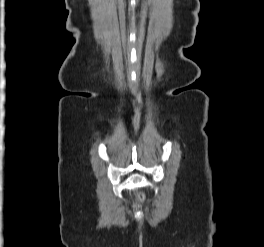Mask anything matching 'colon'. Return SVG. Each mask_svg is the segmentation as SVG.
<instances>
[{"label":"colon","mask_w":264,"mask_h":247,"mask_svg":"<svg viewBox=\"0 0 264 247\" xmlns=\"http://www.w3.org/2000/svg\"><path fill=\"white\" fill-rule=\"evenodd\" d=\"M138 200H139L140 202H144V201H145V195H144V194H140V195L138 196Z\"/></svg>","instance_id":"obj_1"}]
</instances>
